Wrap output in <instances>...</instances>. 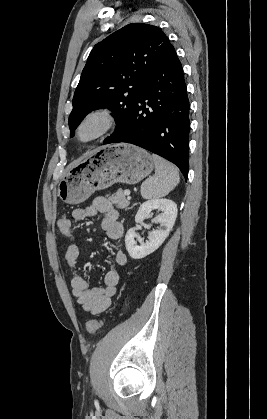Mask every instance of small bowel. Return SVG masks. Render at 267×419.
Instances as JSON below:
<instances>
[{
    "mask_svg": "<svg viewBox=\"0 0 267 419\" xmlns=\"http://www.w3.org/2000/svg\"><path fill=\"white\" fill-rule=\"evenodd\" d=\"M98 214L103 215L101 227L106 232L107 238L118 247L114 256V262L119 266H125L127 257L118 245V241L124 233V228L121 222L118 221L117 211L107 198L96 197L89 206L73 210L72 218L75 221H82ZM78 260V247L75 244L69 245L64 255V261L71 272L70 284L72 294L83 310L93 315L100 314L111 305L112 297L116 294L119 283V275L116 270H109L104 276L103 287L89 288L88 281L77 272Z\"/></svg>",
    "mask_w": 267,
    "mask_h": 419,
    "instance_id": "small-bowel-1",
    "label": "small bowel"
}]
</instances>
